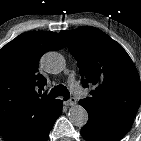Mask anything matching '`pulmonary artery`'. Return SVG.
Returning a JSON list of instances; mask_svg holds the SVG:
<instances>
[{"label": "pulmonary artery", "mask_w": 141, "mask_h": 141, "mask_svg": "<svg viewBox=\"0 0 141 141\" xmlns=\"http://www.w3.org/2000/svg\"><path fill=\"white\" fill-rule=\"evenodd\" d=\"M73 86H74V89H75V90H77V89H78V87H77L75 84H74Z\"/></svg>", "instance_id": "pulmonary-artery-1"}]
</instances>
